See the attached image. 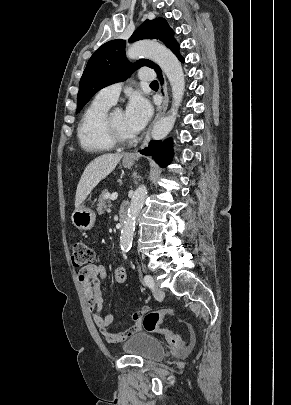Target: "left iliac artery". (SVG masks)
<instances>
[{
  "mask_svg": "<svg viewBox=\"0 0 291 405\" xmlns=\"http://www.w3.org/2000/svg\"><path fill=\"white\" fill-rule=\"evenodd\" d=\"M144 283L147 287L152 288L154 286V280L152 276L150 275H145L144 276Z\"/></svg>",
  "mask_w": 291,
  "mask_h": 405,
  "instance_id": "44dca946",
  "label": "left iliac artery"
}]
</instances>
